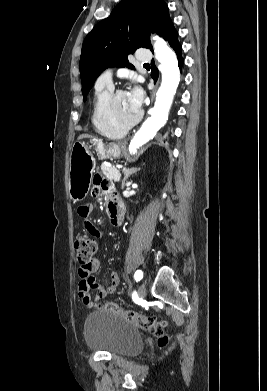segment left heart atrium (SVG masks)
Here are the masks:
<instances>
[{"label": "left heart atrium", "instance_id": "left-heart-atrium-1", "mask_svg": "<svg viewBox=\"0 0 267 391\" xmlns=\"http://www.w3.org/2000/svg\"><path fill=\"white\" fill-rule=\"evenodd\" d=\"M129 98L131 100V103L133 107L139 111L142 105L143 100V94L139 87H134L132 90L128 93Z\"/></svg>", "mask_w": 267, "mask_h": 391}]
</instances>
